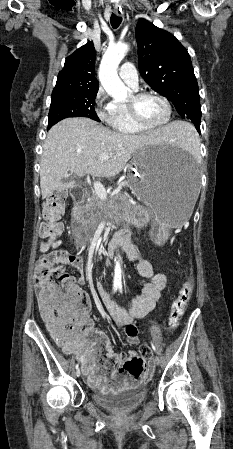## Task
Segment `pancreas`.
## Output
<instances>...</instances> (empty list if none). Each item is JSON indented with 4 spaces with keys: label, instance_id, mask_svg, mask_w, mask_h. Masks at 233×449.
<instances>
[{
    "label": "pancreas",
    "instance_id": "1",
    "mask_svg": "<svg viewBox=\"0 0 233 449\" xmlns=\"http://www.w3.org/2000/svg\"><path fill=\"white\" fill-rule=\"evenodd\" d=\"M128 195H113L106 200H101L96 193L92 194L85 205L86 211L89 212V222L93 227H96L98 222L107 216H120V211L125 206L127 213L125 217L130 219V222L137 227L147 226L150 222L151 211L143 206H133L128 201ZM122 202V205L118 203Z\"/></svg>",
    "mask_w": 233,
    "mask_h": 449
}]
</instances>
